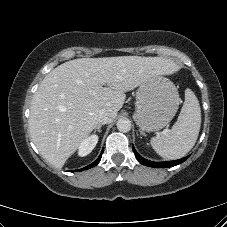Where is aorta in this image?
Instances as JSON below:
<instances>
[{
    "label": "aorta",
    "mask_w": 227,
    "mask_h": 227,
    "mask_svg": "<svg viewBox=\"0 0 227 227\" xmlns=\"http://www.w3.org/2000/svg\"><path fill=\"white\" fill-rule=\"evenodd\" d=\"M117 129L120 132H128L131 130V121L128 118H120L117 121Z\"/></svg>",
    "instance_id": "762f6f07"
}]
</instances>
